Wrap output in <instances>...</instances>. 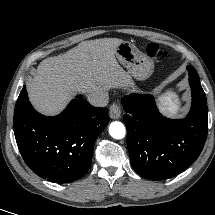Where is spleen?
<instances>
[{"label": "spleen", "instance_id": "3e777b00", "mask_svg": "<svg viewBox=\"0 0 215 215\" xmlns=\"http://www.w3.org/2000/svg\"><path fill=\"white\" fill-rule=\"evenodd\" d=\"M162 100H164L165 104L168 105V108L172 109L173 111H177V105L171 101L170 97H162Z\"/></svg>", "mask_w": 215, "mask_h": 215}]
</instances>
